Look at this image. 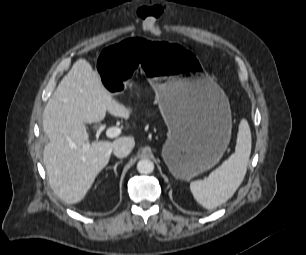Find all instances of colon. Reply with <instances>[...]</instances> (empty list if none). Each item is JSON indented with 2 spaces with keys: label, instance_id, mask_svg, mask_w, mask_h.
<instances>
[{
  "label": "colon",
  "instance_id": "1",
  "mask_svg": "<svg viewBox=\"0 0 306 255\" xmlns=\"http://www.w3.org/2000/svg\"><path fill=\"white\" fill-rule=\"evenodd\" d=\"M163 14L161 5H150L140 9V17L146 25L147 29L155 34H159L158 21Z\"/></svg>",
  "mask_w": 306,
  "mask_h": 255
}]
</instances>
